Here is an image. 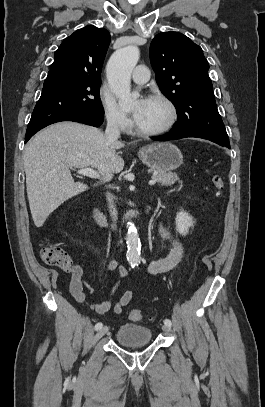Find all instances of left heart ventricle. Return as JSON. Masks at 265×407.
I'll list each match as a JSON object with an SVG mask.
<instances>
[{"mask_svg": "<svg viewBox=\"0 0 265 407\" xmlns=\"http://www.w3.org/2000/svg\"><path fill=\"white\" fill-rule=\"evenodd\" d=\"M139 102L134 105V111ZM169 118V111L165 104L160 101L147 99L140 116L135 120L138 128L143 130H155L162 127Z\"/></svg>", "mask_w": 265, "mask_h": 407, "instance_id": "b2bd125f", "label": "left heart ventricle"}]
</instances>
